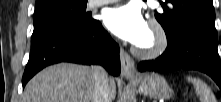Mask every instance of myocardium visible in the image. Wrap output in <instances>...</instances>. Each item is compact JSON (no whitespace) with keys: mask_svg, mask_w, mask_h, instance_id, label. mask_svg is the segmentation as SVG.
I'll return each instance as SVG.
<instances>
[{"mask_svg":"<svg viewBox=\"0 0 221 102\" xmlns=\"http://www.w3.org/2000/svg\"><path fill=\"white\" fill-rule=\"evenodd\" d=\"M148 29L153 35V42L150 46L137 45L135 53L142 58L150 59L155 58L162 54L168 45V37L163 26L156 20L149 22Z\"/></svg>","mask_w":221,"mask_h":102,"instance_id":"obj_1","label":"myocardium"}]
</instances>
